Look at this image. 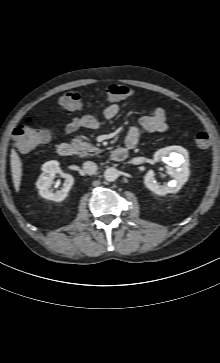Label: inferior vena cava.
<instances>
[{"label": "inferior vena cava", "mask_w": 220, "mask_h": 363, "mask_svg": "<svg viewBox=\"0 0 220 363\" xmlns=\"http://www.w3.org/2000/svg\"><path fill=\"white\" fill-rule=\"evenodd\" d=\"M98 169L96 163L92 162V161H86L83 163V170L87 173V174H93L94 172H96Z\"/></svg>", "instance_id": "602c4592"}]
</instances>
